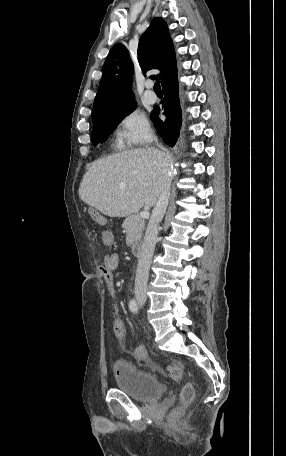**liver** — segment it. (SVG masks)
<instances>
[{
	"instance_id": "6515ba94",
	"label": "liver",
	"mask_w": 286,
	"mask_h": 456,
	"mask_svg": "<svg viewBox=\"0 0 286 456\" xmlns=\"http://www.w3.org/2000/svg\"><path fill=\"white\" fill-rule=\"evenodd\" d=\"M168 153L147 147L95 161L83 176L79 196L109 217H124L144 205L154 206L162 180L168 177Z\"/></svg>"
}]
</instances>
